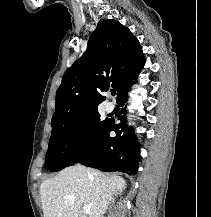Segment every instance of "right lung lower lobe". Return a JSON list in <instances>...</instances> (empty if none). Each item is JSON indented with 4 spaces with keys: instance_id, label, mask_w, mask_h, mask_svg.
I'll use <instances>...</instances> for the list:
<instances>
[{
    "instance_id": "1",
    "label": "right lung lower lobe",
    "mask_w": 211,
    "mask_h": 217,
    "mask_svg": "<svg viewBox=\"0 0 211 217\" xmlns=\"http://www.w3.org/2000/svg\"><path fill=\"white\" fill-rule=\"evenodd\" d=\"M137 78V75L133 80ZM131 81L129 86L118 97V104L123 107L127 99V92L135 83ZM125 109H122L118 118L121 123L115 124L114 119H110L107 129L101 142L86 158L79 163L85 166L99 169L105 172L120 171L129 175L136 174L139 160V146L133 137V129L124 125ZM114 131L115 137H110L109 133Z\"/></svg>"
}]
</instances>
